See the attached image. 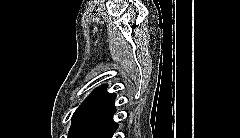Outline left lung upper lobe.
<instances>
[{
    "label": "left lung upper lobe",
    "mask_w": 240,
    "mask_h": 138,
    "mask_svg": "<svg viewBox=\"0 0 240 138\" xmlns=\"http://www.w3.org/2000/svg\"><path fill=\"white\" fill-rule=\"evenodd\" d=\"M106 87L102 85L95 89L75 111L68 138H78L96 113L114 97L115 94L108 93Z\"/></svg>",
    "instance_id": "1"
}]
</instances>
